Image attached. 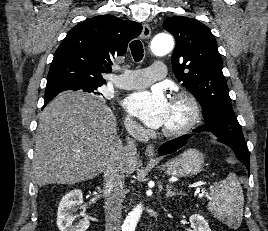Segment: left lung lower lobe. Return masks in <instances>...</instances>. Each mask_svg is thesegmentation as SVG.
<instances>
[{"mask_svg": "<svg viewBox=\"0 0 268 231\" xmlns=\"http://www.w3.org/2000/svg\"><path fill=\"white\" fill-rule=\"evenodd\" d=\"M192 136V134L189 135H183L179 138H176L174 140L168 141L160 146L159 153L164 154H170L177 149L183 147L185 145V142ZM229 147L232 148L234 151L236 157L246 166V168L249 170V154L247 149L238 147L234 144H227Z\"/></svg>", "mask_w": 268, "mask_h": 231, "instance_id": "obj_1", "label": "left lung lower lobe"}]
</instances>
